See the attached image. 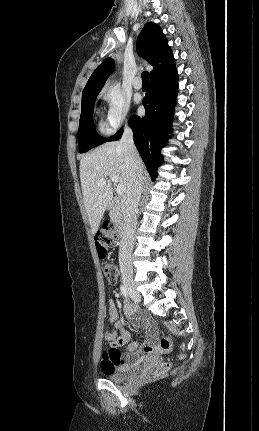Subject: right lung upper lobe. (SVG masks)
Here are the masks:
<instances>
[{"label": "right lung upper lobe", "mask_w": 259, "mask_h": 431, "mask_svg": "<svg viewBox=\"0 0 259 431\" xmlns=\"http://www.w3.org/2000/svg\"><path fill=\"white\" fill-rule=\"evenodd\" d=\"M137 51L140 56L153 66V70L150 72L151 78L175 65L167 39L161 28L155 23L149 22L145 24L137 39ZM113 70L114 61L107 58L92 73L83 90L82 97L88 93L100 92Z\"/></svg>", "instance_id": "cb5924a9"}]
</instances>
